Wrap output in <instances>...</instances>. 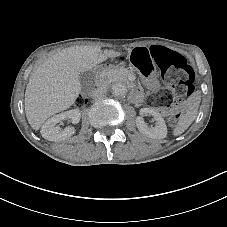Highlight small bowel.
<instances>
[{"label":"small bowel","mask_w":227,"mask_h":227,"mask_svg":"<svg viewBox=\"0 0 227 227\" xmlns=\"http://www.w3.org/2000/svg\"><path fill=\"white\" fill-rule=\"evenodd\" d=\"M135 51H141L142 53H144L145 55H147L150 59H151V47L150 48H146V47H140V48H136L134 49Z\"/></svg>","instance_id":"small-bowel-1"}]
</instances>
